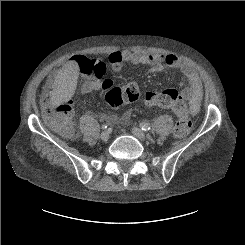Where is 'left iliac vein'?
Masks as SVG:
<instances>
[{"mask_svg":"<svg viewBox=\"0 0 245 245\" xmlns=\"http://www.w3.org/2000/svg\"><path fill=\"white\" fill-rule=\"evenodd\" d=\"M132 134L139 140L144 141L147 139L146 134L140 128L137 127L132 128Z\"/></svg>","mask_w":245,"mask_h":245,"instance_id":"left-iliac-vein-1","label":"left iliac vein"}]
</instances>
